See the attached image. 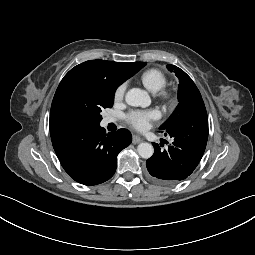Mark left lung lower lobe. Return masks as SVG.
Here are the masks:
<instances>
[{"label": "left lung lower lobe", "mask_w": 255, "mask_h": 255, "mask_svg": "<svg viewBox=\"0 0 255 255\" xmlns=\"http://www.w3.org/2000/svg\"><path fill=\"white\" fill-rule=\"evenodd\" d=\"M165 136L173 138L167 150L154 144V154L146 161L150 175L162 183H177L192 174L199 164L208 139V117L204 105L180 117L167 129Z\"/></svg>", "instance_id": "left-lung-lower-lobe-1"}]
</instances>
